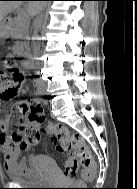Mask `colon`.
Wrapping results in <instances>:
<instances>
[{
  "mask_svg": "<svg viewBox=\"0 0 137 189\" xmlns=\"http://www.w3.org/2000/svg\"><path fill=\"white\" fill-rule=\"evenodd\" d=\"M23 78L22 71L12 63L8 64L6 69H0V98L12 99L17 94ZM24 111L28 125L17 127L13 134L16 140L25 145H37L40 142L41 133H44L50 137L57 151L68 153L64 163L65 176L75 178L79 165H82L84 179L90 180L95 177L96 164L93 155L80 135L70 134L68 129L60 124H47L41 129L44 112L42 106L38 104L27 105Z\"/></svg>",
  "mask_w": 137,
  "mask_h": 189,
  "instance_id": "5ec220e1",
  "label": "colon"
}]
</instances>
